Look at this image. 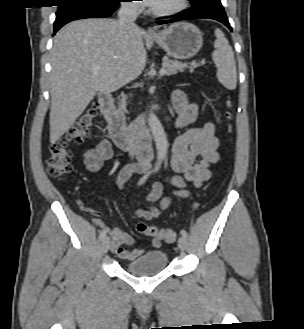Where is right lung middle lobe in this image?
Segmentation results:
<instances>
[{"label":"right lung middle lobe","mask_w":304,"mask_h":329,"mask_svg":"<svg viewBox=\"0 0 304 329\" xmlns=\"http://www.w3.org/2000/svg\"><path fill=\"white\" fill-rule=\"evenodd\" d=\"M58 10L73 6V5H82V4H88V5H112L119 0H58Z\"/></svg>","instance_id":"dd1d6c3e"}]
</instances>
